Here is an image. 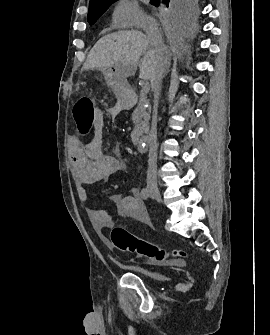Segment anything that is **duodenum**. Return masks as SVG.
<instances>
[{
	"label": "duodenum",
	"instance_id": "duodenum-1",
	"mask_svg": "<svg viewBox=\"0 0 270 335\" xmlns=\"http://www.w3.org/2000/svg\"><path fill=\"white\" fill-rule=\"evenodd\" d=\"M136 94L130 91L127 87H122L120 93L121 106L124 109L132 107L136 102ZM136 147L139 152L145 153L148 150V140L146 137L142 136L136 139Z\"/></svg>",
	"mask_w": 270,
	"mask_h": 335
}]
</instances>
